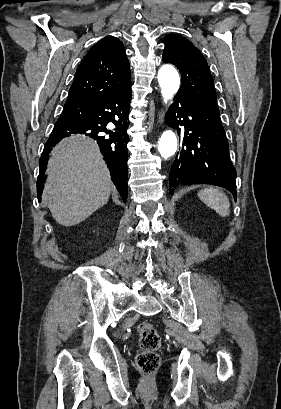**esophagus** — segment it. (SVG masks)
<instances>
[{
  "mask_svg": "<svg viewBox=\"0 0 281 409\" xmlns=\"http://www.w3.org/2000/svg\"><path fill=\"white\" fill-rule=\"evenodd\" d=\"M163 111H160L159 112V114H158V121H159V123H162L163 122Z\"/></svg>",
  "mask_w": 281,
  "mask_h": 409,
  "instance_id": "34e87169",
  "label": "esophagus"
}]
</instances>
